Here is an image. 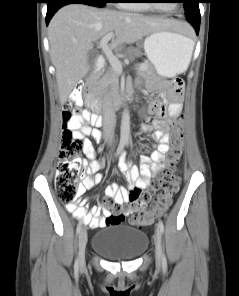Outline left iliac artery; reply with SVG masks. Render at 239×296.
Masks as SVG:
<instances>
[{
    "mask_svg": "<svg viewBox=\"0 0 239 296\" xmlns=\"http://www.w3.org/2000/svg\"><path fill=\"white\" fill-rule=\"evenodd\" d=\"M158 227L160 228L161 233H163L164 232V225H163V222L161 220H159ZM162 267H163V270L166 271V269H167V260H166V257L164 255H163V258H162Z\"/></svg>",
    "mask_w": 239,
    "mask_h": 296,
    "instance_id": "44dca946",
    "label": "left iliac artery"
}]
</instances>
